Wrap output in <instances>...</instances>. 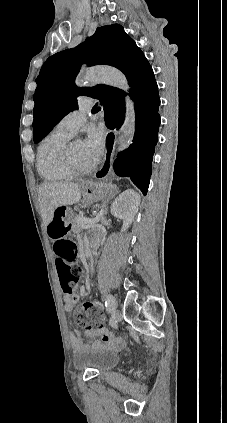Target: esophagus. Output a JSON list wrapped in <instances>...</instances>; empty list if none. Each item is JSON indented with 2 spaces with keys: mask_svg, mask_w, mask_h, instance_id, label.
<instances>
[{
  "mask_svg": "<svg viewBox=\"0 0 227 423\" xmlns=\"http://www.w3.org/2000/svg\"><path fill=\"white\" fill-rule=\"evenodd\" d=\"M112 133L113 132L111 131L110 134L105 137V154L103 162L98 172L94 175V178L99 181L107 178L112 170L114 148L116 143V136L114 137Z\"/></svg>",
  "mask_w": 227,
  "mask_h": 423,
  "instance_id": "34e87169",
  "label": "esophagus"
}]
</instances>
